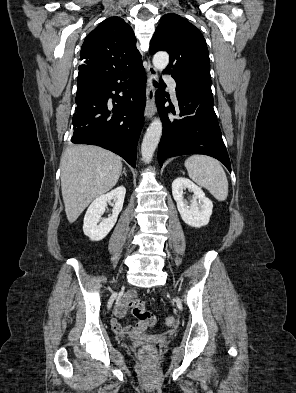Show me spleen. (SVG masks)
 Wrapping results in <instances>:
<instances>
[{"instance_id": "spleen-1", "label": "spleen", "mask_w": 296, "mask_h": 393, "mask_svg": "<svg viewBox=\"0 0 296 393\" xmlns=\"http://www.w3.org/2000/svg\"><path fill=\"white\" fill-rule=\"evenodd\" d=\"M189 177L198 185L205 187L218 200L228 196V180L221 164L205 155H192L185 161Z\"/></svg>"}]
</instances>
